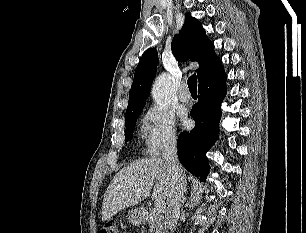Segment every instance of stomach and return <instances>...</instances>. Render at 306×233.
I'll return each mask as SVG.
<instances>
[{
	"mask_svg": "<svg viewBox=\"0 0 306 233\" xmlns=\"http://www.w3.org/2000/svg\"><path fill=\"white\" fill-rule=\"evenodd\" d=\"M128 218H129V221L135 226L142 224L145 219L143 212L140 209L130 210L128 212Z\"/></svg>",
	"mask_w": 306,
	"mask_h": 233,
	"instance_id": "stomach-1",
	"label": "stomach"
}]
</instances>
